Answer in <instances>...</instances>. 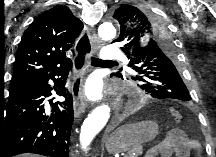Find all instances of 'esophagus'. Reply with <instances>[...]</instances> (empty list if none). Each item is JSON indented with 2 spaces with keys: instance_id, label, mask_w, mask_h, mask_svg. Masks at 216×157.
Segmentation results:
<instances>
[{
  "instance_id": "1",
  "label": "esophagus",
  "mask_w": 216,
  "mask_h": 157,
  "mask_svg": "<svg viewBox=\"0 0 216 157\" xmlns=\"http://www.w3.org/2000/svg\"><path fill=\"white\" fill-rule=\"evenodd\" d=\"M86 30L89 39V46L86 48L85 51H80L77 48V44L75 49L76 56L73 62V71L77 77L83 73L85 67L88 65L90 57L94 54L95 50L97 49V36L94 33H92L88 28ZM72 95L74 110L76 113L80 114L85 110L87 106V99L84 95V85L81 81H75V83L73 84Z\"/></svg>"
}]
</instances>
